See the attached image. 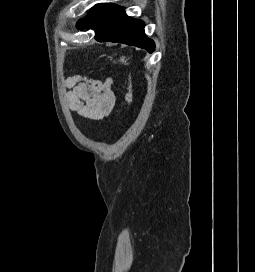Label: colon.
Here are the masks:
<instances>
[{"label": "colon", "instance_id": "1", "mask_svg": "<svg viewBox=\"0 0 255 272\" xmlns=\"http://www.w3.org/2000/svg\"><path fill=\"white\" fill-rule=\"evenodd\" d=\"M117 60L121 65H123L124 67L128 69V90L126 95V102H127V105L130 106L133 102V96H134L133 77H132V72L130 70V64L127 58L124 56H117Z\"/></svg>", "mask_w": 255, "mask_h": 272}]
</instances>
